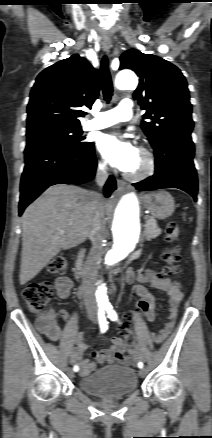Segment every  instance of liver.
Listing matches in <instances>:
<instances>
[{
	"mask_svg": "<svg viewBox=\"0 0 212 438\" xmlns=\"http://www.w3.org/2000/svg\"><path fill=\"white\" fill-rule=\"evenodd\" d=\"M95 206L93 192L57 184L26 208L22 216L21 285L33 279L61 250L86 240Z\"/></svg>",
	"mask_w": 212,
	"mask_h": 438,
	"instance_id": "1",
	"label": "liver"
}]
</instances>
